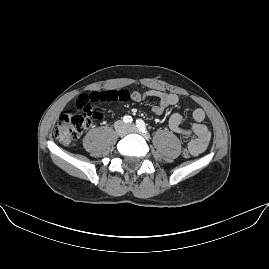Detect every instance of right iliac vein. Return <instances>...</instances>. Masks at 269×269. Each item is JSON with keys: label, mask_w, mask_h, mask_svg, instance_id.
<instances>
[{"label": "right iliac vein", "mask_w": 269, "mask_h": 269, "mask_svg": "<svg viewBox=\"0 0 269 269\" xmlns=\"http://www.w3.org/2000/svg\"><path fill=\"white\" fill-rule=\"evenodd\" d=\"M116 133L119 135V136H124L126 135V130H125V124L123 123H119L116 127Z\"/></svg>", "instance_id": "right-iliac-vein-1"}]
</instances>
